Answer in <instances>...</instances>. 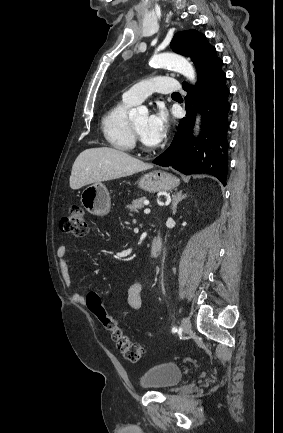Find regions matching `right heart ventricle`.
<instances>
[{
  "instance_id": "e07e8e85",
  "label": "right heart ventricle",
  "mask_w": 283,
  "mask_h": 433,
  "mask_svg": "<svg viewBox=\"0 0 283 433\" xmlns=\"http://www.w3.org/2000/svg\"><path fill=\"white\" fill-rule=\"evenodd\" d=\"M132 106L133 104L122 99L102 117L101 128L103 135L115 149L124 150V146L134 144L132 122L128 116Z\"/></svg>"
}]
</instances>
